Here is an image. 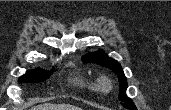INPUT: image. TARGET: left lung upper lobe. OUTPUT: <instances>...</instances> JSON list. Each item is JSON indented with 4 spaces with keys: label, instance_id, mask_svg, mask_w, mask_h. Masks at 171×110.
Listing matches in <instances>:
<instances>
[{
    "label": "left lung upper lobe",
    "instance_id": "obj_1",
    "mask_svg": "<svg viewBox=\"0 0 171 110\" xmlns=\"http://www.w3.org/2000/svg\"><path fill=\"white\" fill-rule=\"evenodd\" d=\"M82 60L84 62H92L107 67L118 75L120 83L119 100L122 101V105L130 110H137L133 101L126 96L127 80L124 76L121 65L114 59L109 58L103 51H98L94 53L87 54L83 56Z\"/></svg>",
    "mask_w": 171,
    "mask_h": 110
}]
</instances>
